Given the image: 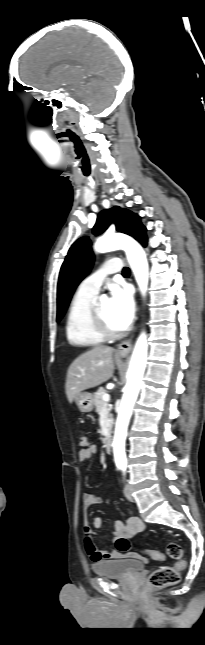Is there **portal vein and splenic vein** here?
Wrapping results in <instances>:
<instances>
[{
	"mask_svg": "<svg viewBox=\"0 0 205 645\" xmlns=\"http://www.w3.org/2000/svg\"><path fill=\"white\" fill-rule=\"evenodd\" d=\"M103 400H104L105 402H109V401H110V396H109V394H104V395H103Z\"/></svg>",
	"mask_w": 205,
	"mask_h": 645,
	"instance_id": "1",
	"label": "portal vein and splenic vein"
}]
</instances>
